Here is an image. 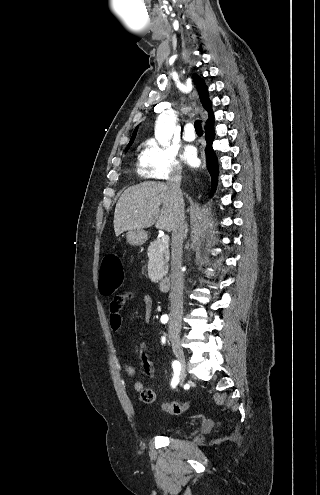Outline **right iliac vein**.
Listing matches in <instances>:
<instances>
[{
  "label": "right iliac vein",
  "mask_w": 320,
  "mask_h": 495,
  "mask_svg": "<svg viewBox=\"0 0 320 495\" xmlns=\"http://www.w3.org/2000/svg\"><path fill=\"white\" fill-rule=\"evenodd\" d=\"M170 341L172 344L173 352H174L175 356L177 357V359L181 365L179 377H180V383L182 384L184 382L185 375H186V371H185L186 370V360H185L184 351H183L181 344H180V336L178 335V333H171L170 334Z\"/></svg>",
  "instance_id": "obj_1"
}]
</instances>
